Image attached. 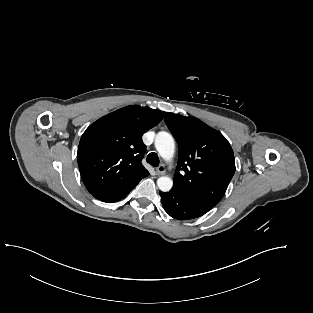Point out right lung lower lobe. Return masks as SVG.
Segmentation results:
<instances>
[{"label":"right lung lower lobe","mask_w":313,"mask_h":313,"mask_svg":"<svg viewBox=\"0 0 313 313\" xmlns=\"http://www.w3.org/2000/svg\"><path fill=\"white\" fill-rule=\"evenodd\" d=\"M141 179L142 178H137L123 185L107 188L91 194L103 202L113 203L128 195V193L136 187Z\"/></svg>","instance_id":"obj_1"}]
</instances>
